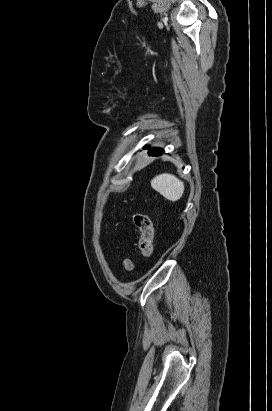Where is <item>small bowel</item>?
Here are the masks:
<instances>
[{"label": "small bowel", "mask_w": 272, "mask_h": 411, "mask_svg": "<svg viewBox=\"0 0 272 411\" xmlns=\"http://www.w3.org/2000/svg\"><path fill=\"white\" fill-rule=\"evenodd\" d=\"M125 269L130 270L133 268V263L130 259H125L123 262Z\"/></svg>", "instance_id": "c3829d8e"}]
</instances>
